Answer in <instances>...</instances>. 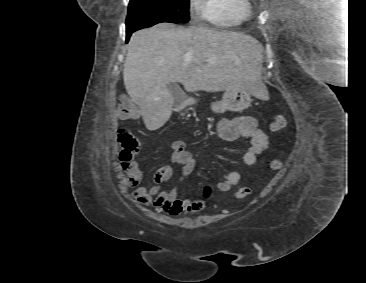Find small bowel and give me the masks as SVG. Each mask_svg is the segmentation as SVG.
<instances>
[{"label": "small bowel", "mask_w": 366, "mask_h": 283, "mask_svg": "<svg viewBox=\"0 0 366 283\" xmlns=\"http://www.w3.org/2000/svg\"><path fill=\"white\" fill-rule=\"evenodd\" d=\"M218 135L225 140H234L244 137L249 142V147L243 155V162L252 166L257 156L268 148V136L252 116H241L233 119L221 118L216 123ZM171 162L181 166V179L189 176L195 169L196 161L193 155L185 149L181 140L171 144ZM123 178L129 187L134 188L132 197L142 206L153 205L158 213L176 216L182 212L194 213L204 206V200L183 199L178 196L176 189L163 190L162 185L172 178L173 165L160 166L152 178L141 185L144 174L136 162L123 163ZM241 174L237 170L231 171L226 180L218 183L217 188L222 192L231 190L239 184Z\"/></svg>", "instance_id": "small-bowel-1"}]
</instances>
